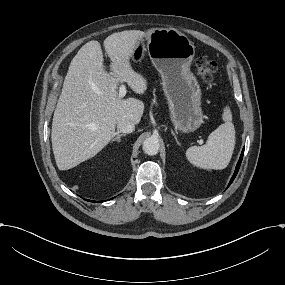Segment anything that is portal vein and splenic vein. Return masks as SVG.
<instances>
[{"mask_svg":"<svg viewBox=\"0 0 285 285\" xmlns=\"http://www.w3.org/2000/svg\"><path fill=\"white\" fill-rule=\"evenodd\" d=\"M126 94V85L124 83L119 84V95L124 96Z\"/></svg>","mask_w":285,"mask_h":285,"instance_id":"obj_1","label":"portal vein and splenic vein"}]
</instances>
